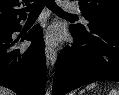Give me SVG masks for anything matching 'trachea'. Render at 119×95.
I'll list each match as a JSON object with an SVG mask.
<instances>
[{
  "instance_id": "1",
  "label": "trachea",
  "mask_w": 119,
  "mask_h": 95,
  "mask_svg": "<svg viewBox=\"0 0 119 95\" xmlns=\"http://www.w3.org/2000/svg\"><path fill=\"white\" fill-rule=\"evenodd\" d=\"M47 6L48 9H50L52 12L62 15V16H71L76 17L74 14H70L62 10L54 0H36L32 4H28L27 7L24 9L26 12H29V16H36L41 13L43 8Z\"/></svg>"
}]
</instances>
